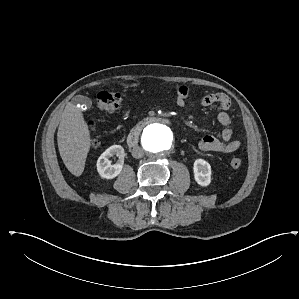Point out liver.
I'll return each instance as SVG.
<instances>
[{
  "label": "liver",
  "mask_w": 299,
  "mask_h": 299,
  "mask_svg": "<svg viewBox=\"0 0 299 299\" xmlns=\"http://www.w3.org/2000/svg\"><path fill=\"white\" fill-rule=\"evenodd\" d=\"M60 156L66 168L80 176L91 146V135L79 108L69 102L62 114L57 133Z\"/></svg>",
  "instance_id": "6515ba94"
}]
</instances>
